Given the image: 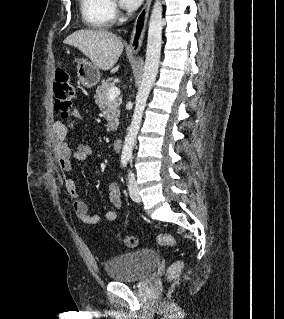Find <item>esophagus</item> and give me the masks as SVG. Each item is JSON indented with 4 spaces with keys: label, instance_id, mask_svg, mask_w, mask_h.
Returning a JSON list of instances; mask_svg holds the SVG:
<instances>
[{
    "label": "esophagus",
    "instance_id": "34e87169",
    "mask_svg": "<svg viewBox=\"0 0 284 319\" xmlns=\"http://www.w3.org/2000/svg\"><path fill=\"white\" fill-rule=\"evenodd\" d=\"M151 2L152 0H146L142 10L135 20L130 42L127 46L129 51L138 52L142 46Z\"/></svg>",
    "mask_w": 284,
    "mask_h": 319
}]
</instances>
